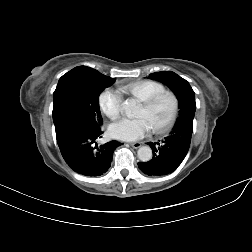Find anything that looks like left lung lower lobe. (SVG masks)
Segmentation results:
<instances>
[{
  "label": "left lung lower lobe",
  "instance_id": "0a47b994",
  "mask_svg": "<svg viewBox=\"0 0 252 252\" xmlns=\"http://www.w3.org/2000/svg\"><path fill=\"white\" fill-rule=\"evenodd\" d=\"M192 132L193 122L182 120L162 141L149 142L153 157L150 161L139 162V169L148 176H163L175 171L189 150Z\"/></svg>",
  "mask_w": 252,
  "mask_h": 252
}]
</instances>
